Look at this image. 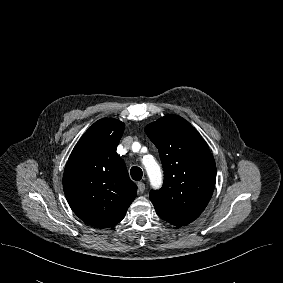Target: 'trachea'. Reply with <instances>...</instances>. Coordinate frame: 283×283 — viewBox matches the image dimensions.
I'll list each match as a JSON object with an SVG mask.
<instances>
[{"mask_svg":"<svg viewBox=\"0 0 283 283\" xmlns=\"http://www.w3.org/2000/svg\"><path fill=\"white\" fill-rule=\"evenodd\" d=\"M130 174H131L132 179L135 181L141 180L143 176L142 169L137 166H134L131 168Z\"/></svg>","mask_w":283,"mask_h":283,"instance_id":"trachea-1","label":"trachea"}]
</instances>
